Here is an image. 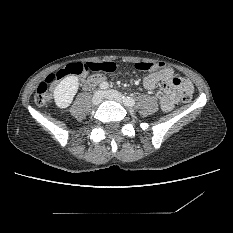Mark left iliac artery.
I'll list each match as a JSON object with an SVG mask.
<instances>
[{"mask_svg":"<svg viewBox=\"0 0 233 233\" xmlns=\"http://www.w3.org/2000/svg\"><path fill=\"white\" fill-rule=\"evenodd\" d=\"M123 102L127 105V106H133L135 104V100L131 97H125L123 96Z\"/></svg>","mask_w":233,"mask_h":233,"instance_id":"1","label":"left iliac artery"}]
</instances>
